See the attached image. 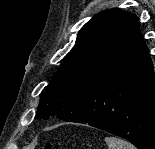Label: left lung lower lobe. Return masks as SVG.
<instances>
[{"label":"left lung lower lobe","instance_id":"left-lung-lower-lobe-1","mask_svg":"<svg viewBox=\"0 0 155 149\" xmlns=\"http://www.w3.org/2000/svg\"><path fill=\"white\" fill-rule=\"evenodd\" d=\"M64 121L108 131L138 149H155V76L138 25L108 70Z\"/></svg>","mask_w":155,"mask_h":149}]
</instances>
